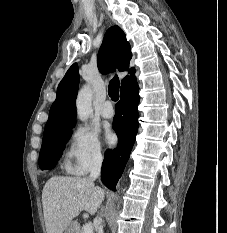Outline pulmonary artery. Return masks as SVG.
I'll return each instance as SVG.
<instances>
[{"label":"pulmonary artery","mask_w":227,"mask_h":233,"mask_svg":"<svg viewBox=\"0 0 227 233\" xmlns=\"http://www.w3.org/2000/svg\"><path fill=\"white\" fill-rule=\"evenodd\" d=\"M101 116L105 119H110L114 116V109L110 101H105L101 107Z\"/></svg>","instance_id":"e3ab8cb5"}]
</instances>
